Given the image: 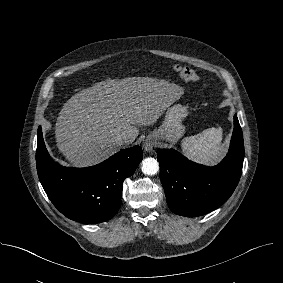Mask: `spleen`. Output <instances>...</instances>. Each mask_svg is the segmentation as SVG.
<instances>
[{"label": "spleen", "mask_w": 283, "mask_h": 283, "mask_svg": "<svg viewBox=\"0 0 283 283\" xmlns=\"http://www.w3.org/2000/svg\"><path fill=\"white\" fill-rule=\"evenodd\" d=\"M222 128L212 127L182 140L181 149L189 159L207 165H214L220 157Z\"/></svg>", "instance_id": "obj_1"}]
</instances>
